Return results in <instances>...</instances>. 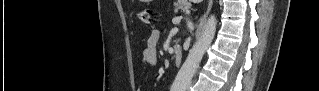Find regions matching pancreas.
<instances>
[{"label":"pancreas","mask_w":319,"mask_h":91,"mask_svg":"<svg viewBox=\"0 0 319 91\" xmlns=\"http://www.w3.org/2000/svg\"><path fill=\"white\" fill-rule=\"evenodd\" d=\"M183 1H178L177 4H175V7H174V10L177 12L178 10H181V11H186L190 6L189 4L187 3H181Z\"/></svg>","instance_id":"cf45deb5"}]
</instances>
